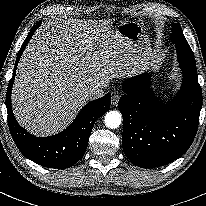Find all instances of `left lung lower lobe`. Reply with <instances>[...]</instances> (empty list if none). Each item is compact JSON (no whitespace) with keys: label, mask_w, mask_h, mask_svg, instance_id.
<instances>
[{"label":"left lung lower lobe","mask_w":206,"mask_h":206,"mask_svg":"<svg viewBox=\"0 0 206 206\" xmlns=\"http://www.w3.org/2000/svg\"><path fill=\"white\" fill-rule=\"evenodd\" d=\"M178 62L183 72L182 87L168 104L151 90L148 73L122 84L125 95L118 104L123 116L122 145L126 157L136 166L166 165L182 156L194 140L202 91L196 65L183 54L178 55Z\"/></svg>","instance_id":"obj_1"}]
</instances>
